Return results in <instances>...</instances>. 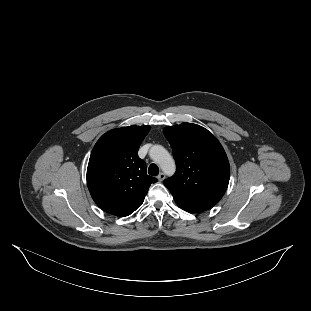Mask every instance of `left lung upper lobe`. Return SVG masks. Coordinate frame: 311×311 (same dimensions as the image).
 Returning <instances> with one entry per match:
<instances>
[{
  "label": "left lung upper lobe",
  "instance_id": "1",
  "mask_svg": "<svg viewBox=\"0 0 311 311\" xmlns=\"http://www.w3.org/2000/svg\"><path fill=\"white\" fill-rule=\"evenodd\" d=\"M176 162L175 174L164 185L175 199L188 204L213 207L224 195L230 178L226 153L205 128L191 123L163 130Z\"/></svg>",
  "mask_w": 311,
  "mask_h": 311
}]
</instances>
